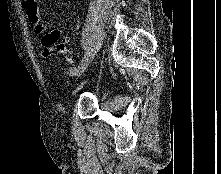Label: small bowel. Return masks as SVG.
Masks as SVG:
<instances>
[{"label":"small bowel","mask_w":221,"mask_h":174,"mask_svg":"<svg viewBox=\"0 0 221 174\" xmlns=\"http://www.w3.org/2000/svg\"><path fill=\"white\" fill-rule=\"evenodd\" d=\"M23 3L26 15L29 18L35 32L39 34L44 33L46 31V25L40 16L38 0H23ZM52 32L46 33L42 39V55L44 58H49L56 52V41L50 40V34ZM60 54H62L64 57H68V52H61Z\"/></svg>","instance_id":"1"}]
</instances>
